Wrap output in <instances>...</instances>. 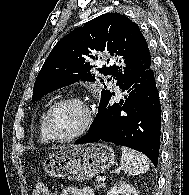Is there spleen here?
Listing matches in <instances>:
<instances>
[{
  "label": "spleen",
  "instance_id": "3e777b00",
  "mask_svg": "<svg viewBox=\"0 0 189 195\" xmlns=\"http://www.w3.org/2000/svg\"><path fill=\"white\" fill-rule=\"evenodd\" d=\"M120 168L128 175H137L149 170L146 156L127 147H121Z\"/></svg>",
  "mask_w": 189,
  "mask_h": 195
}]
</instances>
